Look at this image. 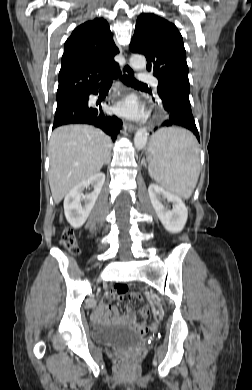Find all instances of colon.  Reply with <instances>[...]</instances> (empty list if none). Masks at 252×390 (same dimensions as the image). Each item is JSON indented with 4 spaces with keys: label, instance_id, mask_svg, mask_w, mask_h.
<instances>
[{
    "label": "colon",
    "instance_id": "5ec220e1",
    "mask_svg": "<svg viewBox=\"0 0 252 390\" xmlns=\"http://www.w3.org/2000/svg\"><path fill=\"white\" fill-rule=\"evenodd\" d=\"M61 243L71 254L78 253L75 234L71 229L64 230ZM127 290L128 287L125 284H117L114 287V291L118 294H125ZM129 297L132 300H141V295L137 292H132Z\"/></svg>",
    "mask_w": 252,
    "mask_h": 390
}]
</instances>
